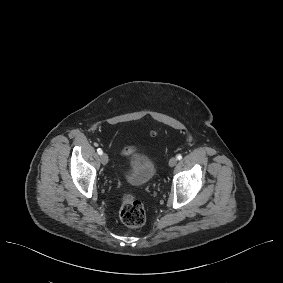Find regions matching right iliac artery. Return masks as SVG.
<instances>
[{
  "instance_id": "82829eb1",
  "label": "right iliac artery",
  "mask_w": 283,
  "mask_h": 283,
  "mask_svg": "<svg viewBox=\"0 0 283 283\" xmlns=\"http://www.w3.org/2000/svg\"><path fill=\"white\" fill-rule=\"evenodd\" d=\"M97 152H98L99 155H102V153H103V151L100 148L97 149Z\"/></svg>"
}]
</instances>
